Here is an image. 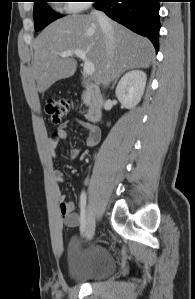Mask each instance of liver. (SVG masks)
<instances>
[{
  "mask_svg": "<svg viewBox=\"0 0 195 299\" xmlns=\"http://www.w3.org/2000/svg\"><path fill=\"white\" fill-rule=\"evenodd\" d=\"M114 50L109 56L106 39L94 15H69L48 25L33 43V77L37 91L44 93L53 83L74 75L77 61L73 55L61 57L67 50H83L94 64L93 78L107 83L127 70L148 68L154 59V47L145 37L111 21Z\"/></svg>",
  "mask_w": 195,
  "mask_h": 299,
  "instance_id": "obj_1",
  "label": "liver"
}]
</instances>
